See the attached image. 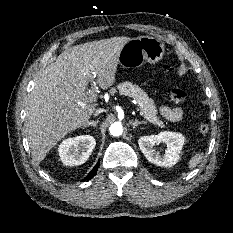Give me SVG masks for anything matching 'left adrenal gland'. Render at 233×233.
<instances>
[{
  "mask_svg": "<svg viewBox=\"0 0 233 233\" xmlns=\"http://www.w3.org/2000/svg\"><path fill=\"white\" fill-rule=\"evenodd\" d=\"M129 123L132 125L133 129H135L140 124H146V122L138 121V120H135V121L131 120V121H129Z\"/></svg>",
  "mask_w": 233,
  "mask_h": 233,
  "instance_id": "a2214340",
  "label": "left adrenal gland"
}]
</instances>
